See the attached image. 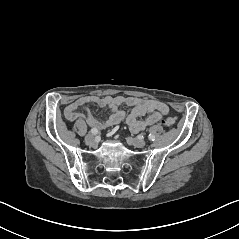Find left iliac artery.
Listing matches in <instances>:
<instances>
[{
    "mask_svg": "<svg viewBox=\"0 0 239 239\" xmlns=\"http://www.w3.org/2000/svg\"><path fill=\"white\" fill-rule=\"evenodd\" d=\"M148 139L150 141H154L155 140V136L153 134H149Z\"/></svg>",
    "mask_w": 239,
    "mask_h": 239,
    "instance_id": "44dca946",
    "label": "left iliac artery"
}]
</instances>
